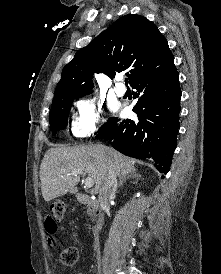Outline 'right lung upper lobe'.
Returning <instances> with one entry per match:
<instances>
[{"instance_id":"obj_1","label":"right lung upper lobe","mask_w":221,"mask_h":274,"mask_svg":"<svg viewBox=\"0 0 221 274\" xmlns=\"http://www.w3.org/2000/svg\"><path fill=\"white\" fill-rule=\"evenodd\" d=\"M172 58L167 40L152 22L140 15H125L80 49L64 67L54 99L79 98L89 92L94 72L114 77L127 70L132 85Z\"/></svg>"}]
</instances>
